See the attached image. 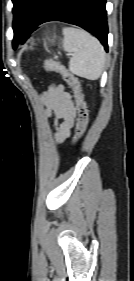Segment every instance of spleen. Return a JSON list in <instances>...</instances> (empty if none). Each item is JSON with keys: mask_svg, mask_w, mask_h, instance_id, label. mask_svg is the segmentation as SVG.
Returning a JSON list of instances; mask_svg holds the SVG:
<instances>
[{"mask_svg": "<svg viewBox=\"0 0 134 281\" xmlns=\"http://www.w3.org/2000/svg\"><path fill=\"white\" fill-rule=\"evenodd\" d=\"M62 32L63 49L73 53L69 61L70 72L88 80H97L105 64V51L101 43L82 29L65 27Z\"/></svg>", "mask_w": 134, "mask_h": 281, "instance_id": "1", "label": "spleen"}]
</instances>
